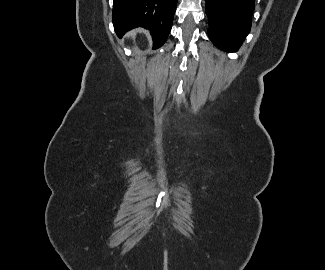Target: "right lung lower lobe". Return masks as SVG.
Here are the masks:
<instances>
[{"mask_svg":"<svg viewBox=\"0 0 325 270\" xmlns=\"http://www.w3.org/2000/svg\"><path fill=\"white\" fill-rule=\"evenodd\" d=\"M177 0H114L112 21L118 36L136 28L151 31L154 48L163 45L172 27Z\"/></svg>","mask_w":325,"mask_h":270,"instance_id":"1","label":"right lung lower lobe"}]
</instances>
